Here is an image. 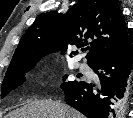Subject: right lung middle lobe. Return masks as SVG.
<instances>
[{
    "mask_svg": "<svg viewBox=\"0 0 133 118\" xmlns=\"http://www.w3.org/2000/svg\"><path fill=\"white\" fill-rule=\"evenodd\" d=\"M38 61H33L27 64H22L14 67L8 68L1 87V97H5L11 90H14L18 86L22 85L25 81V73L29 72ZM67 75L64 76L63 81H65ZM78 81H67L61 84V88L65 89L67 87L78 84Z\"/></svg>",
    "mask_w": 133,
    "mask_h": 118,
    "instance_id": "right-lung-middle-lobe-1",
    "label": "right lung middle lobe"
}]
</instances>
